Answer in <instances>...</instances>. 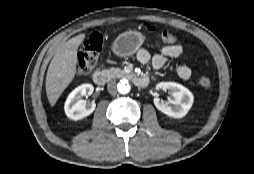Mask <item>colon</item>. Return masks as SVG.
Wrapping results in <instances>:
<instances>
[{
    "label": "colon",
    "mask_w": 254,
    "mask_h": 174,
    "mask_svg": "<svg viewBox=\"0 0 254 174\" xmlns=\"http://www.w3.org/2000/svg\"><path fill=\"white\" fill-rule=\"evenodd\" d=\"M146 29L150 33L157 34L164 42L168 44H174L177 41V36L172 31L166 29H158L152 25H148ZM101 49L102 37L98 33H93L83 42L81 50L77 55L78 75L84 76L98 65ZM199 83L205 89H209L212 84L211 80L206 76L200 77Z\"/></svg>",
    "instance_id": "obj_1"
}]
</instances>
